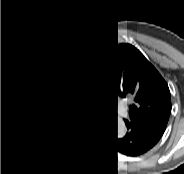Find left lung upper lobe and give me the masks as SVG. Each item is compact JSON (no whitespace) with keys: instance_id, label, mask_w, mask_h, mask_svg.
I'll list each match as a JSON object with an SVG mask.
<instances>
[{"instance_id":"left-lung-upper-lobe-1","label":"left lung upper lobe","mask_w":184,"mask_h":174,"mask_svg":"<svg viewBox=\"0 0 184 174\" xmlns=\"http://www.w3.org/2000/svg\"><path fill=\"white\" fill-rule=\"evenodd\" d=\"M110 69L116 95L131 101L126 126L162 135L171 113V96L161 75L132 46L114 52Z\"/></svg>"}]
</instances>
